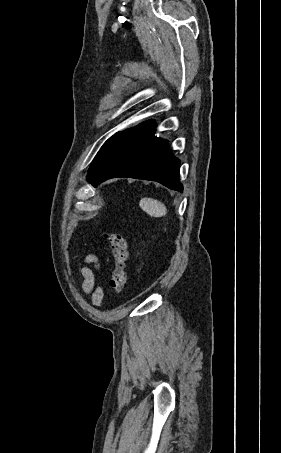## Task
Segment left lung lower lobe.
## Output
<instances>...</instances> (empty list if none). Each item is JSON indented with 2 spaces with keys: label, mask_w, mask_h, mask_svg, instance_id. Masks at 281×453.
<instances>
[{
  "label": "left lung lower lobe",
  "mask_w": 281,
  "mask_h": 453,
  "mask_svg": "<svg viewBox=\"0 0 281 453\" xmlns=\"http://www.w3.org/2000/svg\"><path fill=\"white\" fill-rule=\"evenodd\" d=\"M154 127V122L146 121L109 138L91 163L87 180L97 186L109 178L132 177L182 191L180 161L166 140L154 136Z\"/></svg>",
  "instance_id": "left-lung-lower-lobe-1"
}]
</instances>
